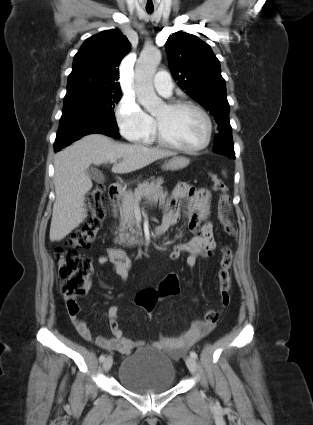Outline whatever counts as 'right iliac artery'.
<instances>
[{
    "mask_svg": "<svg viewBox=\"0 0 313 425\" xmlns=\"http://www.w3.org/2000/svg\"><path fill=\"white\" fill-rule=\"evenodd\" d=\"M104 359H105V355H103V354H102V355L99 357V361H100V362H103V361H104Z\"/></svg>",
    "mask_w": 313,
    "mask_h": 425,
    "instance_id": "right-iliac-artery-1",
    "label": "right iliac artery"
}]
</instances>
